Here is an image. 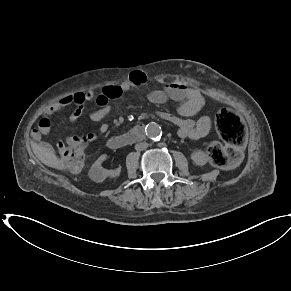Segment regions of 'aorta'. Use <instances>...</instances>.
Instances as JSON below:
<instances>
[{
  "instance_id": "1",
  "label": "aorta",
  "mask_w": 291,
  "mask_h": 291,
  "mask_svg": "<svg viewBox=\"0 0 291 291\" xmlns=\"http://www.w3.org/2000/svg\"><path fill=\"white\" fill-rule=\"evenodd\" d=\"M146 135L153 140L159 139L162 135V129L157 123H150L146 127Z\"/></svg>"
}]
</instances>
